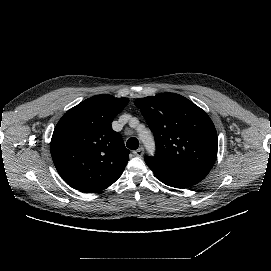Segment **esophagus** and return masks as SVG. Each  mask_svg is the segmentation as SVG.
<instances>
[{
  "label": "esophagus",
  "mask_w": 271,
  "mask_h": 271,
  "mask_svg": "<svg viewBox=\"0 0 271 271\" xmlns=\"http://www.w3.org/2000/svg\"><path fill=\"white\" fill-rule=\"evenodd\" d=\"M133 154L136 157H142L144 154V148L143 147H139L137 150L133 151Z\"/></svg>",
  "instance_id": "34e87169"
}]
</instances>
